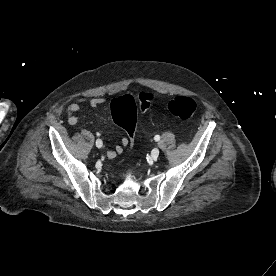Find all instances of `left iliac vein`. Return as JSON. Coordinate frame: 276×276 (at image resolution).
<instances>
[{
  "label": "left iliac vein",
  "instance_id": "4c4485c4",
  "mask_svg": "<svg viewBox=\"0 0 276 276\" xmlns=\"http://www.w3.org/2000/svg\"><path fill=\"white\" fill-rule=\"evenodd\" d=\"M159 149L158 148H154L152 151H151V155L153 158H157L159 156Z\"/></svg>",
  "mask_w": 276,
  "mask_h": 276
}]
</instances>
